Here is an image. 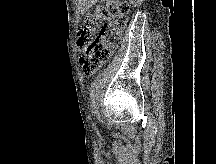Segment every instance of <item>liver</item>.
I'll return each instance as SVG.
<instances>
[{
    "label": "liver",
    "mask_w": 216,
    "mask_h": 164,
    "mask_svg": "<svg viewBox=\"0 0 216 164\" xmlns=\"http://www.w3.org/2000/svg\"><path fill=\"white\" fill-rule=\"evenodd\" d=\"M87 4H84V10L89 9L92 5L96 4L99 0H83ZM102 2L105 0H101Z\"/></svg>",
    "instance_id": "1"
}]
</instances>
